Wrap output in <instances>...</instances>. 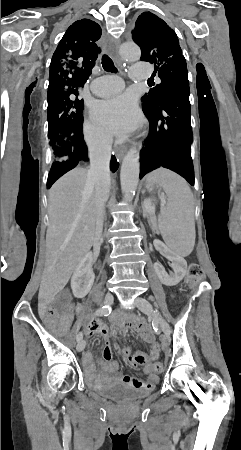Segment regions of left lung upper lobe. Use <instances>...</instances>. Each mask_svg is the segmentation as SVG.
Instances as JSON below:
<instances>
[{
  "label": "left lung upper lobe",
  "mask_w": 241,
  "mask_h": 450,
  "mask_svg": "<svg viewBox=\"0 0 241 450\" xmlns=\"http://www.w3.org/2000/svg\"><path fill=\"white\" fill-rule=\"evenodd\" d=\"M130 38L141 48V61L154 63L162 80L142 97L143 108L159 106L172 94L189 92L186 61L178 38L162 19L151 12L142 13Z\"/></svg>",
  "instance_id": "1"
}]
</instances>
